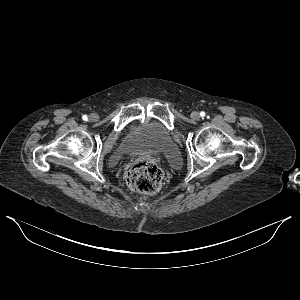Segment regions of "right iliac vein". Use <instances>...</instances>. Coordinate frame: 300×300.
Segmentation results:
<instances>
[{"label":"right iliac vein","instance_id":"63e3f726","mask_svg":"<svg viewBox=\"0 0 300 300\" xmlns=\"http://www.w3.org/2000/svg\"><path fill=\"white\" fill-rule=\"evenodd\" d=\"M89 119H90L92 122H96V121L99 119V116H98L97 113H92V114H90Z\"/></svg>","mask_w":300,"mask_h":300}]
</instances>
